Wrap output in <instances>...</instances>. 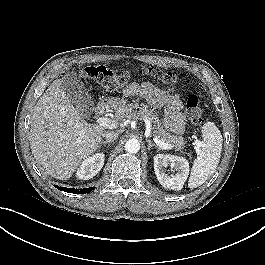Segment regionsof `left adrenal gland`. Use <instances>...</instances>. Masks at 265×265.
Returning <instances> with one entry per match:
<instances>
[{
    "instance_id": "a2214340",
    "label": "left adrenal gland",
    "mask_w": 265,
    "mask_h": 265,
    "mask_svg": "<svg viewBox=\"0 0 265 265\" xmlns=\"http://www.w3.org/2000/svg\"><path fill=\"white\" fill-rule=\"evenodd\" d=\"M148 143V150H150L152 147L156 146L154 143H152L151 140H146ZM158 149L160 150V148L158 147Z\"/></svg>"
}]
</instances>
